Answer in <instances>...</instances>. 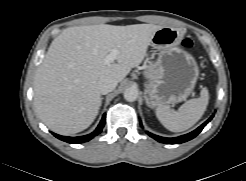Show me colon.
<instances>
[{
  "instance_id": "5ec220e1",
  "label": "colon",
  "mask_w": 246,
  "mask_h": 181,
  "mask_svg": "<svg viewBox=\"0 0 246 181\" xmlns=\"http://www.w3.org/2000/svg\"><path fill=\"white\" fill-rule=\"evenodd\" d=\"M182 47L183 48H190L191 47V41L188 39H185L182 41Z\"/></svg>"
}]
</instances>
